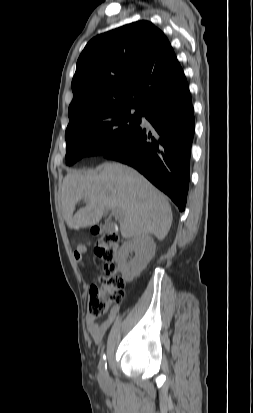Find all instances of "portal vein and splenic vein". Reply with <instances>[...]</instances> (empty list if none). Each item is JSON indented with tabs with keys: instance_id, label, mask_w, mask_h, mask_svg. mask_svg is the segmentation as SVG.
I'll return each mask as SVG.
<instances>
[{
	"instance_id": "obj_1",
	"label": "portal vein and splenic vein",
	"mask_w": 253,
	"mask_h": 413,
	"mask_svg": "<svg viewBox=\"0 0 253 413\" xmlns=\"http://www.w3.org/2000/svg\"><path fill=\"white\" fill-rule=\"evenodd\" d=\"M112 213L117 217L121 216V212L119 210H112Z\"/></svg>"
}]
</instances>
